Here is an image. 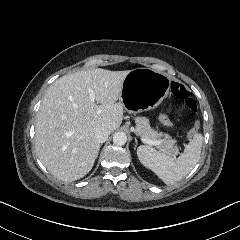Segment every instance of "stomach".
<instances>
[{
  "label": "stomach",
  "instance_id": "1",
  "mask_svg": "<svg viewBox=\"0 0 240 240\" xmlns=\"http://www.w3.org/2000/svg\"><path fill=\"white\" fill-rule=\"evenodd\" d=\"M170 77L152 68L130 70L123 82L120 102L131 113L157 107L170 90Z\"/></svg>",
  "mask_w": 240,
  "mask_h": 240
}]
</instances>
